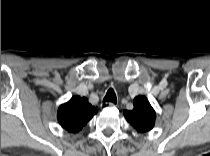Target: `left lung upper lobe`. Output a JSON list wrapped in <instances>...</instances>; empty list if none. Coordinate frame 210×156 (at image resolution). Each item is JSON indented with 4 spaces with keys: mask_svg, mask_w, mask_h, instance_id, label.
Returning a JSON list of instances; mask_svg holds the SVG:
<instances>
[{
    "mask_svg": "<svg viewBox=\"0 0 210 156\" xmlns=\"http://www.w3.org/2000/svg\"><path fill=\"white\" fill-rule=\"evenodd\" d=\"M133 104V110L124 111L125 118L139 133L148 132L154 127L156 118L154 109L144 96H137Z\"/></svg>",
    "mask_w": 210,
    "mask_h": 156,
    "instance_id": "left-lung-upper-lobe-1",
    "label": "left lung upper lobe"
}]
</instances>
